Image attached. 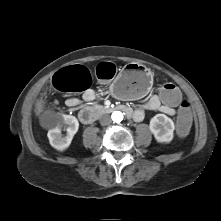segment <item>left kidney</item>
<instances>
[{
  "mask_svg": "<svg viewBox=\"0 0 221 221\" xmlns=\"http://www.w3.org/2000/svg\"><path fill=\"white\" fill-rule=\"evenodd\" d=\"M149 129L160 143H169L174 137V122L165 114H157L151 118Z\"/></svg>",
  "mask_w": 221,
  "mask_h": 221,
  "instance_id": "obj_1",
  "label": "left kidney"
}]
</instances>
